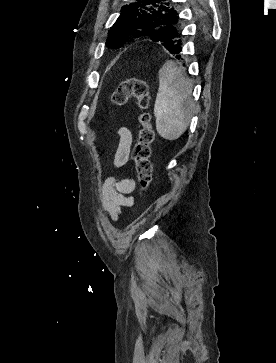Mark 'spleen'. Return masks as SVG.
<instances>
[{"instance_id": "spleen-1", "label": "spleen", "mask_w": 276, "mask_h": 363, "mask_svg": "<svg viewBox=\"0 0 276 363\" xmlns=\"http://www.w3.org/2000/svg\"><path fill=\"white\" fill-rule=\"evenodd\" d=\"M159 89L154 104L156 130L166 140L178 139L187 129L194 101L192 87L182 68L166 61L159 70Z\"/></svg>"}]
</instances>
